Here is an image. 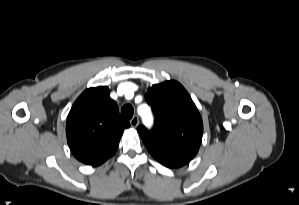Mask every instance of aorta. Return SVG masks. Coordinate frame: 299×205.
Listing matches in <instances>:
<instances>
[{
  "label": "aorta",
  "instance_id": "1",
  "mask_svg": "<svg viewBox=\"0 0 299 205\" xmlns=\"http://www.w3.org/2000/svg\"><path fill=\"white\" fill-rule=\"evenodd\" d=\"M144 119L147 121H149L151 119L149 111H147V113L144 115Z\"/></svg>",
  "mask_w": 299,
  "mask_h": 205
}]
</instances>
